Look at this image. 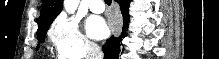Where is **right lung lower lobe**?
I'll list each match as a JSON object with an SVG mask.
<instances>
[{
    "label": "right lung lower lobe",
    "instance_id": "obj_1",
    "mask_svg": "<svg viewBox=\"0 0 219 59\" xmlns=\"http://www.w3.org/2000/svg\"><path fill=\"white\" fill-rule=\"evenodd\" d=\"M121 8V12L123 14V30L122 35L118 38L111 37L107 40V43L103 46V52H104V59H118L119 53H120V46H121V40L123 38V35L125 31L128 28L129 23V3L130 0H116Z\"/></svg>",
    "mask_w": 219,
    "mask_h": 59
}]
</instances>
